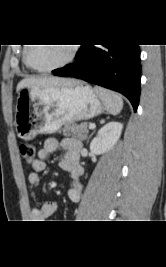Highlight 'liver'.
Returning <instances> with one entry per match:
<instances>
[{
  "mask_svg": "<svg viewBox=\"0 0 166 267\" xmlns=\"http://www.w3.org/2000/svg\"><path fill=\"white\" fill-rule=\"evenodd\" d=\"M78 82L72 79H65L52 76H41L25 78L21 80L16 88V92L19 93L23 88H53V87H69L74 86Z\"/></svg>",
  "mask_w": 166,
  "mask_h": 267,
  "instance_id": "6515ba94",
  "label": "liver"
}]
</instances>
